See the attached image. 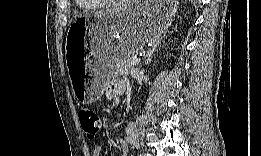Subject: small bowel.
Instances as JSON below:
<instances>
[{
  "mask_svg": "<svg viewBox=\"0 0 261 156\" xmlns=\"http://www.w3.org/2000/svg\"><path fill=\"white\" fill-rule=\"evenodd\" d=\"M123 90V84L120 81L110 82L106 88V93L109 97H114L120 94ZM135 143V129L134 126H131L126 136L119 142H115L117 148L120 151L121 156H127L129 153L130 145ZM102 147L96 146L93 149L92 156H101Z\"/></svg>",
  "mask_w": 261,
  "mask_h": 156,
  "instance_id": "1",
  "label": "small bowel"
}]
</instances>
